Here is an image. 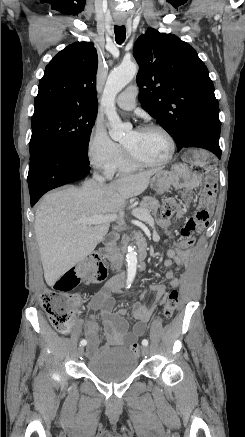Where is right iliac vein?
I'll return each instance as SVG.
<instances>
[{
  "mask_svg": "<svg viewBox=\"0 0 245 437\" xmlns=\"http://www.w3.org/2000/svg\"><path fill=\"white\" fill-rule=\"evenodd\" d=\"M83 353H84V347H79V348L77 349V354H78V356H82Z\"/></svg>",
  "mask_w": 245,
  "mask_h": 437,
  "instance_id": "right-iliac-vein-1",
  "label": "right iliac vein"
}]
</instances>
